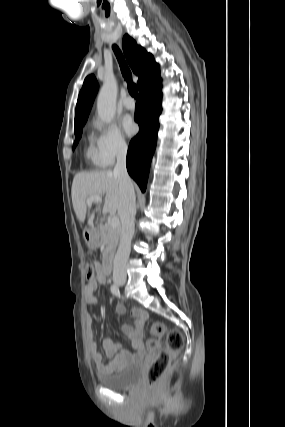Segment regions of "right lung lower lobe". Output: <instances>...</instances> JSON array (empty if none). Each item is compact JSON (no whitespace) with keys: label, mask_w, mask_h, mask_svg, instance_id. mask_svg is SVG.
<instances>
[{"label":"right lung lower lobe","mask_w":285,"mask_h":427,"mask_svg":"<svg viewBox=\"0 0 285 427\" xmlns=\"http://www.w3.org/2000/svg\"><path fill=\"white\" fill-rule=\"evenodd\" d=\"M140 100L135 109V121L140 131L128 148L126 165L129 175L144 192L151 159L156 147L159 115L162 111L161 79L159 73L146 81L139 89Z\"/></svg>","instance_id":"obj_1"}]
</instances>
